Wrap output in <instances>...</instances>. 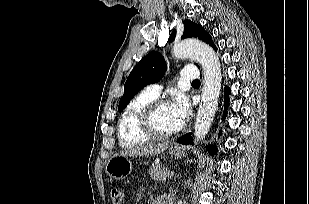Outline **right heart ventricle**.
<instances>
[{"label":"right heart ventricle","instance_id":"obj_1","mask_svg":"<svg viewBox=\"0 0 309 204\" xmlns=\"http://www.w3.org/2000/svg\"><path fill=\"white\" fill-rule=\"evenodd\" d=\"M154 99L156 98L143 91L127 104L118 123V138L121 146H136L148 140L137 127V116L143 106Z\"/></svg>","mask_w":309,"mask_h":204}]
</instances>
